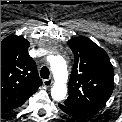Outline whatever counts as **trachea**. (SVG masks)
Returning a JSON list of instances; mask_svg holds the SVG:
<instances>
[{
  "label": "trachea",
  "mask_w": 122,
  "mask_h": 122,
  "mask_svg": "<svg viewBox=\"0 0 122 122\" xmlns=\"http://www.w3.org/2000/svg\"><path fill=\"white\" fill-rule=\"evenodd\" d=\"M49 69L47 67H42L41 68V71H40V76L43 78V79H48L49 78Z\"/></svg>",
  "instance_id": "trachea-1"
}]
</instances>
